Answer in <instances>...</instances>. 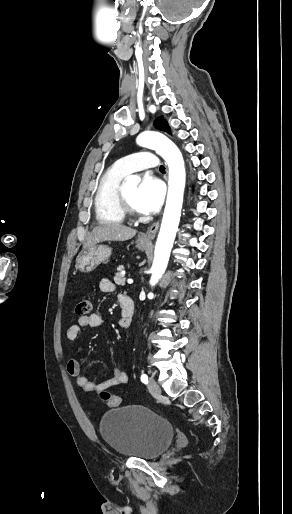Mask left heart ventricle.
Segmentation results:
<instances>
[{
  "label": "left heart ventricle",
  "instance_id": "b2bd125f",
  "mask_svg": "<svg viewBox=\"0 0 292 514\" xmlns=\"http://www.w3.org/2000/svg\"><path fill=\"white\" fill-rule=\"evenodd\" d=\"M122 191H123L125 199L129 203V205L132 208L138 210V207L136 205V192H137V188H135V187H126V188H122Z\"/></svg>",
  "mask_w": 292,
  "mask_h": 514
}]
</instances>
